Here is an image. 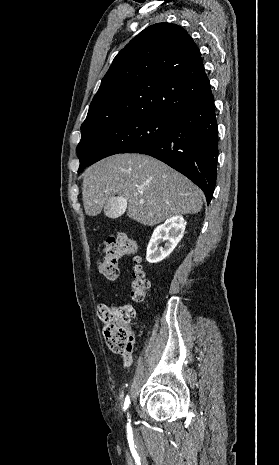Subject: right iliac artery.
I'll list each match as a JSON object with an SVG mask.
<instances>
[{
  "label": "right iliac artery",
  "mask_w": 279,
  "mask_h": 465,
  "mask_svg": "<svg viewBox=\"0 0 279 465\" xmlns=\"http://www.w3.org/2000/svg\"><path fill=\"white\" fill-rule=\"evenodd\" d=\"M129 405H130V398L129 396H126L125 402H124V408H123L124 411L129 407Z\"/></svg>",
  "instance_id": "right-iliac-artery-1"
}]
</instances>
